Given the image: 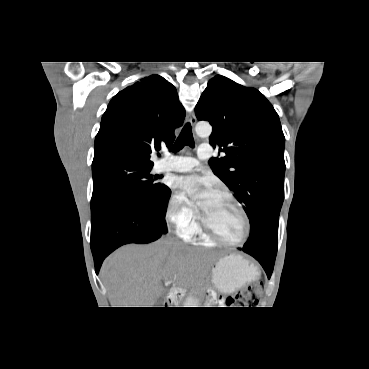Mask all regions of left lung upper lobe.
Masks as SVG:
<instances>
[{
  "instance_id": "left-lung-upper-lobe-1",
  "label": "left lung upper lobe",
  "mask_w": 369,
  "mask_h": 369,
  "mask_svg": "<svg viewBox=\"0 0 369 369\" xmlns=\"http://www.w3.org/2000/svg\"><path fill=\"white\" fill-rule=\"evenodd\" d=\"M195 113L213 127L210 144L226 155L211 158L214 172L236 195L250 220L249 250L277 253L278 222L284 199V144L271 103L254 88L216 75Z\"/></svg>"
}]
</instances>
